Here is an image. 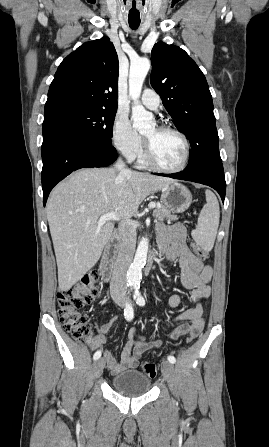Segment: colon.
I'll return each mask as SVG.
<instances>
[{
	"mask_svg": "<svg viewBox=\"0 0 269 447\" xmlns=\"http://www.w3.org/2000/svg\"><path fill=\"white\" fill-rule=\"evenodd\" d=\"M191 250L201 261L209 258V252L196 243L191 244ZM98 294L99 280L94 274H85L74 287L57 292V314L61 324L79 343H85L92 338L86 307L97 301ZM193 339L195 334H190L186 341L192 343ZM141 371L149 378H154L157 375V365L151 362L145 363Z\"/></svg>",
	"mask_w": 269,
	"mask_h": 447,
	"instance_id": "5ec220e1",
	"label": "colon"
}]
</instances>
